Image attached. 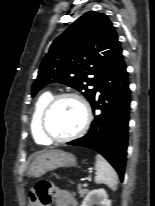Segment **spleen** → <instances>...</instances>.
I'll list each match as a JSON object with an SVG mask.
<instances>
[{
	"instance_id": "spleen-1",
	"label": "spleen",
	"mask_w": 155,
	"mask_h": 206,
	"mask_svg": "<svg viewBox=\"0 0 155 206\" xmlns=\"http://www.w3.org/2000/svg\"><path fill=\"white\" fill-rule=\"evenodd\" d=\"M95 169V183L106 184L110 189L115 191L118 184L117 174L113 167L107 162V160L103 156H96Z\"/></svg>"
}]
</instances>
